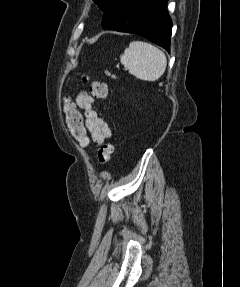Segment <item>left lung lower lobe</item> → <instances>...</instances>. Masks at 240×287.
I'll return each mask as SVG.
<instances>
[{"label":"left lung lower lobe","instance_id":"1","mask_svg":"<svg viewBox=\"0 0 240 287\" xmlns=\"http://www.w3.org/2000/svg\"><path fill=\"white\" fill-rule=\"evenodd\" d=\"M168 0H109L102 28L137 34L170 52L172 22Z\"/></svg>","mask_w":240,"mask_h":287}]
</instances>
